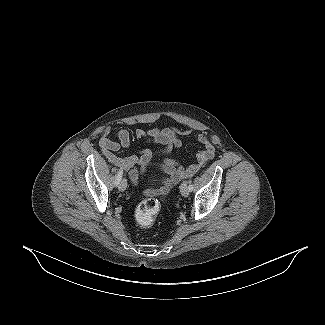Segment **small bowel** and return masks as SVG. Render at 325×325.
<instances>
[{
    "label": "small bowel",
    "mask_w": 325,
    "mask_h": 325,
    "mask_svg": "<svg viewBox=\"0 0 325 325\" xmlns=\"http://www.w3.org/2000/svg\"><path fill=\"white\" fill-rule=\"evenodd\" d=\"M109 133L110 128H105L99 140V146L102 153L112 164L126 170L131 182L134 185H138L140 175L146 172L147 168L154 160L160 155L169 153L174 147L180 148L183 144L181 137L191 135L192 131L177 127L164 129L153 128L148 131L138 129L135 132V137L137 139L158 142L162 144L163 147L158 152L142 149L138 155H132L126 158L117 157L115 152L121 148H128L130 146V132L126 129H120L117 133V142L109 138ZM193 138L204 146L203 150L198 152L196 162L184 168L174 160L164 159L162 161V168L171 175L173 182H178L186 176L193 175L214 155V147L208 136L198 134L193 136ZM138 167L139 170L137 169Z\"/></svg>",
    "instance_id": "c3829d8e"
}]
</instances>
